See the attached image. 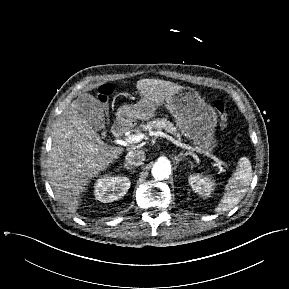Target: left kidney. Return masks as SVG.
Listing matches in <instances>:
<instances>
[{
  "label": "left kidney",
  "mask_w": 289,
  "mask_h": 289,
  "mask_svg": "<svg viewBox=\"0 0 289 289\" xmlns=\"http://www.w3.org/2000/svg\"><path fill=\"white\" fill-rule=\"evenodd\" d=\"M188 180L191 188L202 197H209L215 185L210 176L200 174L190 175Z\"/></svg>",
  "instance_id": "obj_1"
}]
</instances>
